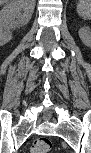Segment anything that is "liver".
<instances>
[{"mask_svg":"<svg viewBox=\"0 0 91 153\" xmlns=\"http://www.w3.org/2000/svg\"><path fill=\"white\" fill-rule=\"evenodd\" d=\"M28 1H29V0H28ZM5 2H6V0H1V4H2V3H5ZM29 3L33 5V4H35V1L32 0V1H29Z\"/></svg>","mask_w":91,"mask_h":153,"instance_id":"6515ba94","label":"liver"}]
</instances>
